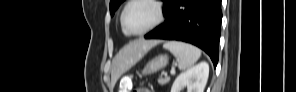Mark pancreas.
Instances as JSON below:
<instances>
[{
    "mask_svg": "<svg viewBox=\"0 0 296 92\" xmlns=\"http://www.w3.org/2000/svg\"><path fill=\"white\" fill-rule=\"evenodd\" d=\"M170 81L169 77H165V78H159L158 79V83L161 85L167 84Z\"/></svg>",
    "mask_w": 296,
    "mask_h": 92,
    "instance_id": "obj_1",
    "label": "pancreas"
}]
</instances>
